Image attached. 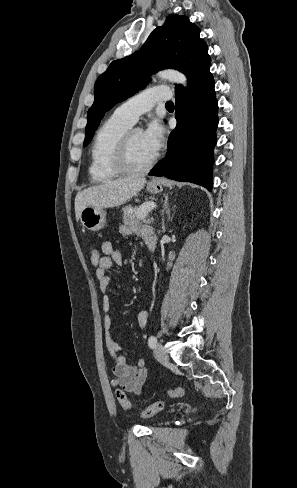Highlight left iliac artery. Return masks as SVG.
<instances>
[{
  "label": "left iliac artery",
  "instance_id": "44dca946",
  "mask_svg": "<svg viewBox=\"0 0 297 488\" xmlns=\"http://www.w3.org/2000/svg\"><path fill=\"white\" fill-rule=\"evenodd\" d=\"M157 344V338L155 336L149 337L148 345L150 348H154Z\"/></svg>",
  "mask_w": 297,
  "mask_h": 488
}]
</instances>
